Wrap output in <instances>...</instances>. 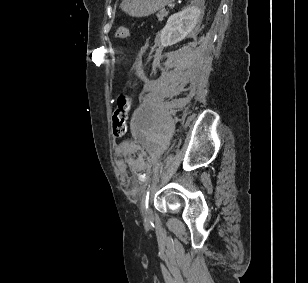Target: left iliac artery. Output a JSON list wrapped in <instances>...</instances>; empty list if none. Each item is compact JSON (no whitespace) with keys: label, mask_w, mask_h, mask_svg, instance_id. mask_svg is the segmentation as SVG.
I'll return each instance as SVG.
<instances>
[{"label":"left iliac artery","mask_w":308,"mask_h":283,"mask_svg":"<svg viewBox=\"0 0 308 283\" xmlns=\"http://www.w3.org/2000/svg\"><path fill=\"white\" fill-rule=\"evenodd\" d=\"M149 190L144 191L142 196V207L145 211L148 209Z\"/></svg>","instance_id":"1"}]
</instances>
